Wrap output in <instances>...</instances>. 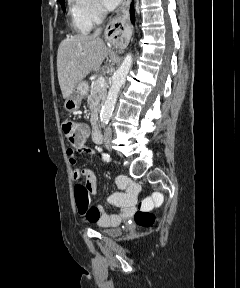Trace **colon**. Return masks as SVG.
I'll return each instance as SVG.
<instances>
[{"mask_svg":"<svg viewBox=\"0 0 240 288\" xmlns=\"http://www.w3.org/2000/svg\"><path fill=\"white\" fill-rule=\"evenodd\" d=\"M62 130L66 139L72 144L81 143L86 138L84 126L73 121H65ZM134 221L139 227H149L155 222V215L150 211L138 210L134 214Z\"/></svg>","mask_w":240,"mask_h":288,"instance_id":"obj_1","label":"colon"}]
</instances>
